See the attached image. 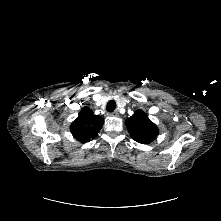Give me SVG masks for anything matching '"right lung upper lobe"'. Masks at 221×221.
Listing matches in <instances>:
<instances>
[{"instance_id":"1","label":"right lung upper lobe","mask_w":221,"mask_h":221,"mask_svg":"<svg viewBox=\"0 0 221 221\" xmlns=\"http://www.w3.org/2000/svg\"><path fill=\"white\" fill-rule=\"evenodd\" d=\"M104 119L97 116L89 107H84L70 126L73 137L81 143L95 138L102 128Z\"/></svg>"}]
</instances>
